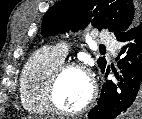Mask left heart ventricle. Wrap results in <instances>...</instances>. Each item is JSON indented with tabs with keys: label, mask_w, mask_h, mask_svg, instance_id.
I'll return each mask as SVG.
<instances>
[{
	"label": "left heart ventricle",
	"mask_w": 142,
	"mask_h": 119,
	"mask_svg": "<svg viewBox=\"0 0 142 119\" xmlns=\"http://www.w3.org/2000/svg\"><path fill=\"white\" fill-rule=\"evenodd\" d=\"M89 83L87 77L80 71H68L61 79L56 100L66 110L79 108L89 96Z\"/></svg>",
	"instance_id": "obj_1"
}]
</instances>
